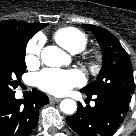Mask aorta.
Returning a JSON list of instances; mask_svg holds the SVG:
<instances>
[{
  "mask_svg": "<svg viewBox=\"0 0 136 136\" xmlns=\"http://www.w3.org/2000/svg\"><path fill=\"white\" fill-rule=\"evenodd\" d=\"M67 58L66 53L56 46H47L41 52L42 62L49 67L61 66L66 62ZM76 108V102L72 99H64L60 103V109L65 114L75 113Z\"/></svg>",
  "mask_w": 136,
  "mask_h": 136,
  "instance_id": "762f6f07",
  "label": "aorta"
}]
</instances>
